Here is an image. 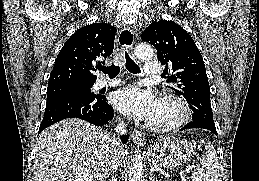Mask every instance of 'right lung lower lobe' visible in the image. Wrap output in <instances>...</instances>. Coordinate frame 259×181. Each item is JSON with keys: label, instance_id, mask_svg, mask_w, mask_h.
<instances>
[{"label": "right lung lower lobe", "instance_id": "98d812e1", "mask_svg": "<svg viewBox=\"0 0 259 181\" xmlns=\"http://www.w3.org/2000/svg\"><path fill=\"white\" fill-rule=\"evenodd\" d=\"M114 111L103 95L96 98L79 95L62 97L46 105L38 134L46 127L66 118H79L97 126L107 125L113 119ZM129 136H121L122 143Z\"/></svg>", "mask_w": 259, "mask_h": 181}]
</instances>
